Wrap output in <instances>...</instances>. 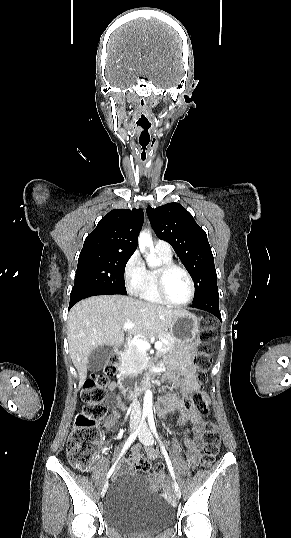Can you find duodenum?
Wrapping results in <instances>:
<instances>
[{"instance_id": "1", "label": "duodenum", "mask_w": 291, "mask_h": 538, "mask_svg": "<svg viewBox=\"0 0 291 538\" xmlns=\"http://www.w3.org/2000/svg\"><path fill=\"white\" fill-rule=\"evenodd\" d=\"M117 352L119 355L125 356L128 353V348L119 347ZM118 378H120V382H123V396L131 398L138 397L140 395V391L145 387L149 388L151 386L150 381L153 379L150 372H143L141 377L134 376V374L131 372H127L126 374L121 372L118 373Z\"/></svg>"}]
</instances>
